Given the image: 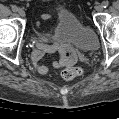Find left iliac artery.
I'll return each mask as SVG.
<instances>
[{
    "instance_id": "1",
    "label": "left iliac artery",
    "mask_w": 119,
    "mask_h": 119,
    "mask_svg": "<svg viewBox=\"0 0 119 119\" xmlns=\"http://www.w3.org/2000/svg\"><path fill=\"white\" fill-rule=\"evenodd\" d=\"M108 5H109V2H108V1H103V2H102V6H103L104 8H106Z\"/></svg>"
}]
</instances>
